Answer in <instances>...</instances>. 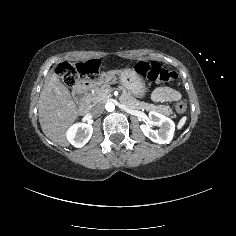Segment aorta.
Returning <instances> with one entry per match:
<instances>
[{
  "instance_id": "762f6f07",
  "label": "aorta",
  "mask_w": 236,
  "mask_h": 236,
  "mask_svg": "<svg viewBox=\"0 0 236 236\" xmlns=\"http://www.w3.org/2000/svg\"><path fill=\"white\" fill-rule=\"evenodd\" d=\"M105 108L108 112H113L115 110V104L112 102H108Z\"/></svg>"
}]
</instances>
